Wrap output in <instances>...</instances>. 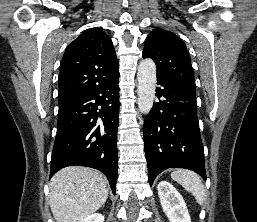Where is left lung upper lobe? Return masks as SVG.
<instances>
[{"label": "left lung upper lobe", "mask_w": 257, "mask_h": 222, "mask_svg": "<svg viewBox=\"0 0 257 222\" xmlns=\"http://www.w3.org/2000/svg\"><path fill=\"white\" fill-rule=\"evenodd\" d=\"M142 56L153 59L157 75L196 92L189 52L177 35L160 28L154 29L145 40Z\"/></svg>", "instance_id": "left-lung-upper-lobe-1"}]
</instances>
